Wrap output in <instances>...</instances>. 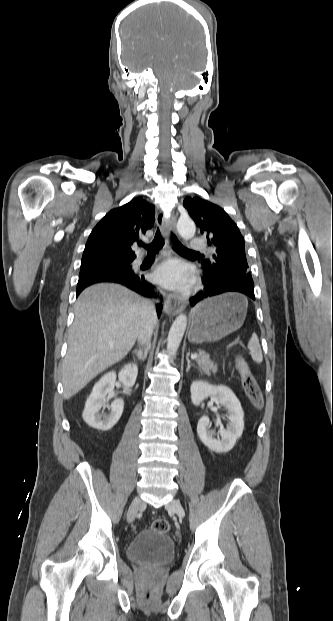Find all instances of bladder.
Returning <instances> with one entry per match:
<instances>
[{"instance_id":"31cf9c89","label":"bladder","mask_w":333,"mask_h":621,"mask_svg":"<svg viewBox=\"0 0 333 621\" xmlns=\"http://www.w3.org/2000/svg\"><path fill=\"white\" fill-rule=\"evenodd\" d=\"M127 557L132 562L166 564L175 556V545L166 533L143 530L128 545Z\"/></svg>"}]
</instances>
